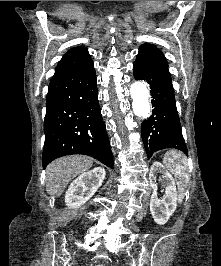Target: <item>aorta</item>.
I'll return each mask as SVG.
<instances>
[{
	"label": "aorta",
	"instance_id": "1",
	"mask_svg": "<svg viewBox=\"0 0 221 266\" xmlns=\"http://www.w3.org/2000/svg\"><path fill=\"white\" fill-rule=\"evenodd\" d=\"M132 108L138 117L147 118L150 115L149 89L144 81H135L130 87Z\"/></svg>",
	"mask_w": 221,
	"mask_h": 266
}]
</instances>
